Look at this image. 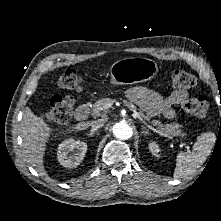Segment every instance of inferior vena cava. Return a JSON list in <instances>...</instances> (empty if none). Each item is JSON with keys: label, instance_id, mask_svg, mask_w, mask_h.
<instances>
[{"label": "inferior vena cava", "instance_id": "602c4592", "mask_svg": "<svg viewBox=\"0 0 221 221\" xmlns=\"http://www.w3.org/2000/svg\"><path fill=\"white\" fill-rule=\"evenodd\" d=\"M103 126H104V121L102 119L93 121L91 125V132L95 133L98 129L102 128Z\"/></svg>", "mask_w": 221, "mask_h": 221}]
</instances>
